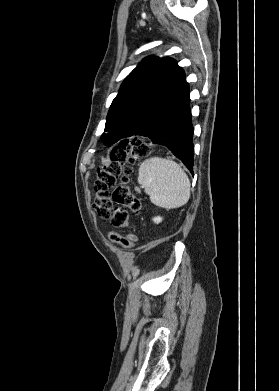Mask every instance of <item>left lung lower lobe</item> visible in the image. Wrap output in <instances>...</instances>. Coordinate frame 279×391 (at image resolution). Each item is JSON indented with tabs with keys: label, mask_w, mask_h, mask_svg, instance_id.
I'll return each instance as SVG.
<instances>
[{
	"label": "left lung lower lobe",
	"mask_w": 279,
	"mask_h": 391,
	"mask_svg": "<svg viewBox=\"0 0 279 391\" xmlns=\"http://www.w3.org/2000/svg\"><path fill=\"white\" fill-rule=\"evenodd\" d=\"M189 89L157 118L135 135L145 136L153 143L166 146L192 172L193 125Z\"/></svg>",
	"instance_id": "left-lung-lower-lobe-1"
}]
</instances>
